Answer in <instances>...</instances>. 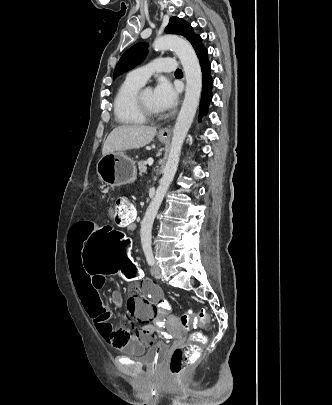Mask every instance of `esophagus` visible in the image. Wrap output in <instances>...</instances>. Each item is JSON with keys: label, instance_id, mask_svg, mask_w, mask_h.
<instances>
[{"label": "esophagus", "instance_id": "1", "mask_svg": "<svg viewBox=\"0 0 332 405\" xmlns=\"http://www.w3.org/2000/svg\"><path fill=\"white\" fill-rule=\"evenodd\" d=\"M170 128L169 127H165V128H162L160 131H159V134L161 135V136H164V137H168L169 135H170Z\"/></svg>", "mask_w": 332, "mask_h": 405}]
</instances>
